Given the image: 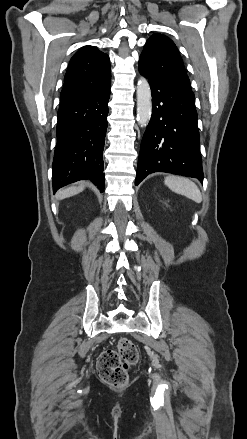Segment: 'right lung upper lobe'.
<instances>
[{"label": "right lung upper lobe", "instance_id": "obj_1", "mask_svg": "<svg viewBox=\"0 0 247 439\" xmlns=\"http://www.w3.org/2000/svg\"><path fill=\"white\" fill-rule=\"evenodd\" d=\"M110 83L109 57L94 46H84L69 62L60 102L101 90Z\"/></svg>", "mask_w": 247, "mask_h": 439}]
</instances>
